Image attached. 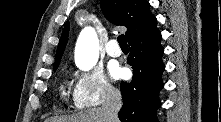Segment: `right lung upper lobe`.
Segmentation results:
<instances>
[{
  "instance_id": "obj_1",
  "label": "right lung upper lobe",
  "mask_w": 221,
  "mask_h": 122,
  "mask_svg": "<svg viewBox=\"0 0 221 122\" xmlns=\"http://www.w3.org/2000/svg\"><path fill=\"white\" fill-rule=\"evenodd\" d=\"M150 4L146 0H101V9L108 21L115 25L127 27V40L141 35L155 22L156 18L149 10ZM69 24L62 32L58 45L54 68L58 67L68 41Z\"/></svg>"
}]
</instances>
